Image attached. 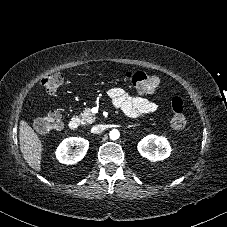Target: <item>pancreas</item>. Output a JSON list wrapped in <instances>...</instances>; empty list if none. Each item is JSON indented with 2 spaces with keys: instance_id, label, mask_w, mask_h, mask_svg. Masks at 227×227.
<instances>
[{
  "instance_id": "obj_1",
  "label": "pancreas",
  "mask_w": 227,
  "mask_h": 227,
  "mask_svg": "<svg viewBox=\"0 0 227 227\" xmlns=\"http://www.w3.org/2000/svg\"><path fill=\"white\" fill-rule=\"evenodd\" d=\"M80 122L82 124H91L95 121L96 116L92 113L90 108H86L81 114H80Z\"/></svg>"
}]
</instances>
